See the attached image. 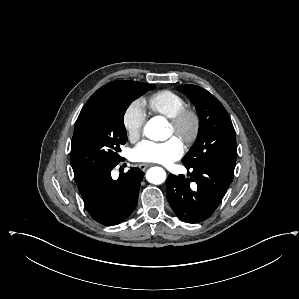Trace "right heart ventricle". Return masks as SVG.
<instances>
[{
    "label": "right heart ventricle",
    "instance_id": "1",
    "mask_svg": "<svg viewBox=\"0 0 299 299\" xmlns=\"http://www.w3.org/2000/svg\"><path fill=\"white\" fill-rule=\"evenodd\" d=\"M148 107L166 118H173L186 106L185 99L172 90H161L152 94L147 100Z\"/></svg>",
    "mask_w": 299,
    "mask_h": 299
}]
</instances>
